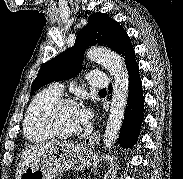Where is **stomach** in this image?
<instances>
[{"mask_svg": "<svg viewBox=\"0 0 183 179\" xmlns=\"http://www.w3.org/2000/svg\"><path fill=\"white\" fill-rule=\"evenodd\" d=\"M95 153L81 144L63 142L49 148L29 164L20 179H55L69 169L85 170L92 165Z\"/></svg>", "mask_w": 183, "mask_h": 179, "instance_id": "0dacf381", "label": "stomach"}]
</instances>
